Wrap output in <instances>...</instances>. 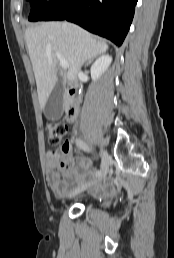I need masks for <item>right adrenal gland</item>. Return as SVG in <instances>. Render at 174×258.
I'll return each mask as SVG.
<instances>
[{"mask_svg": "<svg viewBox=\"0 0 174 258\" xmlns=\"http://www.w3.org/2000/svg\"><path fill=\"white\" fill-rule=\"evenodd\" d=\"M93 59H94V58H92V59L88 60V62L85 64V66L90 65V64L92 63Z\"/></svg>", "mask_w": 174, "mask_h": 258, "instance_id": "right-adrenal-gland-1", "label": "right adrenal gland"}]
</instances>
